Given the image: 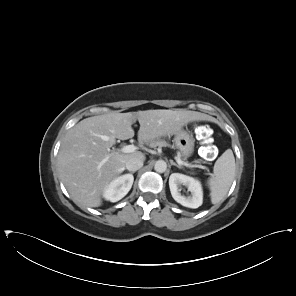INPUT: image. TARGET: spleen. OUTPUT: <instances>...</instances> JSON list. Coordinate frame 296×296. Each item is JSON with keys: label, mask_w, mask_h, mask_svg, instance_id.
<instances>
[{"label": "spleen", "mask_w": 296, "mask_h": 296, "mask_svg": "<svg viewBox=\"0 0 296 296\" xmlns=\"http://www.w3.org/2000/svg\"><path fill=\"white\" fill-rule=\"evenodd\" d=\"M235 175V158L227 149L215 162L213 175L208 181L212 204L219 203L227 194Z\"/></svg>", "instance_id": "obj_1"}]
</instances>
